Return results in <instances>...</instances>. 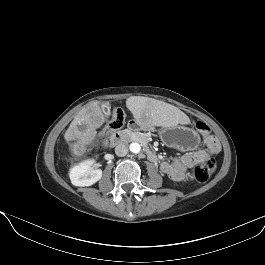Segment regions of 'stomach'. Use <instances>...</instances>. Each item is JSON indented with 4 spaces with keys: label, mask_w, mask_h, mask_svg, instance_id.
<instances>
[{
    "label": "stomach",
    "mask_w": 265,
    "mask_h": 265,
    "mask_svg": "<svg viewBox=\"0 0 265 265\" xmlns=\"http://www.w3.org/2000/svg\"><path fill=\"white\" fill-rule=\"evenodd\" d=\"M144 129L154 131L153 126L140 124ZM159 136L163 143L182 151L194 150L198 147L200 138L196 131L185 126L162 127Z\"/></svg>",
    "instance_id": "stomach-1"
}]
</instances>
